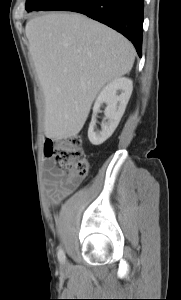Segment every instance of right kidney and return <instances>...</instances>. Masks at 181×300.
<instances>
[{
	"label": "right kidney",
	"mask_w": 181,
	"mask_h": 300,
	"mask_svg": "<svg viewBox=\"0 0 181 300\" xmlns=\"http://www.w3.org/2000/svg\"><path fill=\"white\" fill-rule=\"evenodd\" d=\"M133 90V82L126 77H118L108 83L98 95L94 104V117L88 129V138L93 145L104 143L117 128ZM118 91L121 93L118 94ZM106 103L104 110L106 122L101 124V131H95L96 115L100 106Z\"/></svg>",
	"instance_id": "1"
}]
</instances>
